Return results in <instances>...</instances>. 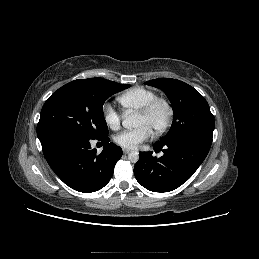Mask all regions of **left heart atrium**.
<instances>
[{
  "label": "left heart atrium",
  "mask_w": 259,
  "mask_h": 259,
  "mask_svg": "<svg viewBox=\"0 0 259 259\" xmlns=\"http://www.w3.org/2000/svg\"><path fill=\"white\" fill-rule=\"evenodd\" d=\"M152 136V130L147 126H140L134 130H126L118 133L114 137V142L128 150L136 149L141 143L149 140Z\"/></svg>",
  "instance_id": "39dd6f15"
}]
</instances>
